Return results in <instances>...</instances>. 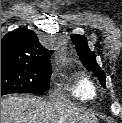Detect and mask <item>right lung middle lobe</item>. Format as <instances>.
Returning <instances> with one entry per match:
<instances>
[{
  "label": "right lung middle lobe",
  "mask_w": 122,
  "mask_h": 123,
  "mask_svg": "<svg viewBox=\"0 0 122 123\" xmlns=\"http://www.w3.org/2000/svg\"><path fill=\"white\" fill-rule=\"evenodd\" d=\"M51 72L50 61L1 58V95L47 91Z\"/></svg>",
  "instance_id": "dd1d6c3e"
}]
</instances>
